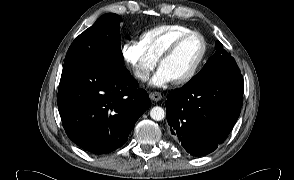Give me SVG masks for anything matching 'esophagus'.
Instances as JSON below:
<instances>
[{"mask_svg":"<svg viewBox=\"0 0 294 180\" xmlns=\"http://www.w3.org/2000/svg\"><path fill=\"white\" fill-rule=\"evenodd\" d=\"M149 97H150V99L151 100H153V101H159V100H161L162 99V95H161V93L160 92H151L150 94H149Z\"/></svg>","mask_w":294,"mask_h":180,"instance_id":"obj_1","label":"esophagus"}]
</instances>
